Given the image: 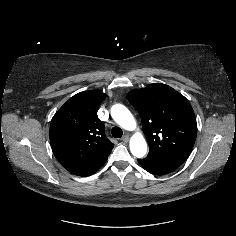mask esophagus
Segmentation results:
<instances>
[{
	"label": "esophagus",
	"instance_id": "1",
	"mask_svg": "<svg viewBox=\"0 0 236 236\" xmlns=\"http://www.w3.org/2000/svg\"><path fill=\"white\" fill-rule=\"evenodd\" d=\"M123 142H128L129 141V135L128 134H125L122 139H121Z\"/></svg>",
	"mask_w": 236,
	"mask_h": 236
}]
</instances>
